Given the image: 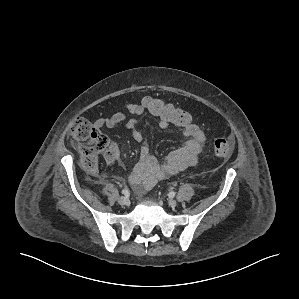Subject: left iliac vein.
<instances>
[{
    "label": "left iliac vein",
    "mask_w": 299,
    "mask_h": 299,
    "mask_svg": "<svg viewBox=\"0 0 299 299\" xmlns=\"http://www.w3.org/2000/svg\"><path fill=\"white\" fill-rule=\"evenodd\" d=\"M168 204H169L171 207H175V206L177 205V202H176V200H174V199H170V200L168 201Z\"/></svg>",
    "instance_id": "left-iliac-vein-1"
}]
</instances>
